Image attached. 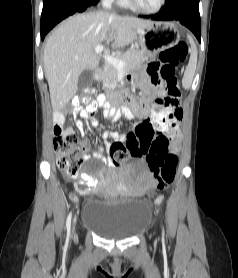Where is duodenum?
<instances>
[{"label":"duodenum","mask_w":238,"mask_h":278,"mask_svg":"<svg viewBox=\"0 0 238 278\" xmlns=\"http://www.w3.org/2000/svg\"><path fill=\"white\" fill-rule=\"evenodd\" d=\"M102 74H103L102 69L96 68L94 70L93 76H94L95 80H100L102 78Z\"/></svg>","instance_id":"obj_1"}]
</instances>
